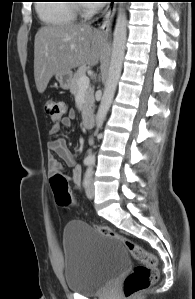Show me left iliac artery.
I'll return each instance as SVG.
<instances>
[{
    "label": "left iliac artery",
    "instance_id": "left-iliac-artery-1",
    "mask_svg": "<svg viewBox=\"0 0 195 299\" xmlns=\"http://www.w3.org/2000/svg\"><path fill=\"white\" fill-rule=\"evenodd\" d=\"M91 173H92V171H91V169L89 168V169L86 171V174H85V178H84V182H83L84 185H87V182H88V179H89L90 176H91Z\"/></svg>",
    "mask_w": 195,
    "mask_h": 299
}]
</instances>
